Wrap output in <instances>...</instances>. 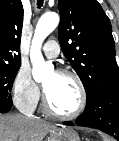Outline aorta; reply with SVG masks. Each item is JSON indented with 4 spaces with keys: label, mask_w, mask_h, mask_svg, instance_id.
Masks as SVG:
<instances>
[{
    "label": "aorta",
    "mask_w": 119,
    "mask_h": 141,
    "mask_svg": "<svg viewBox=\"0 0 119 141\" xmlns=\"http://www.w3.org/2000/svg\"><path fill=\"white\" fill-rule=\"evenodd\" d=\"M59 24V16L56 13H45L39 19L30 50V59L33 66L32 75L35 81H42L48 72L53 70L52 64L45 62L41 53V46L44 39Z\"/></svg>",
    "instance_id": "aorta-1"
}]
</instances>
